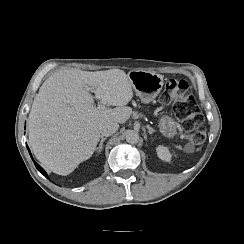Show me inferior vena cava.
Instances as JSON below:
<instances>
[{"label":"inferior vena cava","instance_id":"1","mask_svg":"<svg viewBox=\"0 0 244 244\" xmlns=\"http://www.w3.org/2000/svg\"><path fill=\"white\" fill-rule=\"evenodd\" d=\"M119 128V124L117 122H107L99 127L100 133L102 136H110L114 134Z\"/></svg>","mask_w":244,"mask_h":244}]
</instances>
